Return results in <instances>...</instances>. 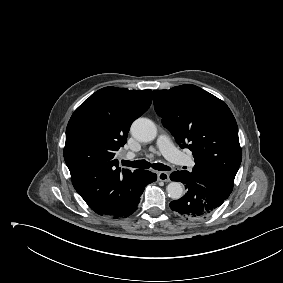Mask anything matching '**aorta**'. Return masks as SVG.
<instances>
[{
	"label": "aorta",
	"mask_w": 283,
	"mask_h": 283,
	"mask_svg": "<svg viewBox=\"0 0 283 283\" xmlns=\"http://www.w3.org/2000/svg\"><path fill=\"white\" fill-rule=\"evenodd\" d=\"M131 134L141 142H151L157 136V128L153 121L147 118H138L131 125ZM168 196L177 200L183 196V186L179 182H171L166 187Z\"/></svg>",
	"instance_id": "obj_1"
}]
</instances>
